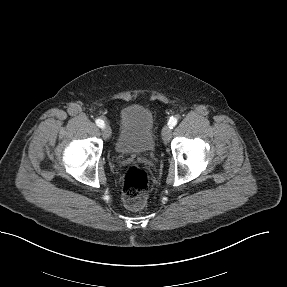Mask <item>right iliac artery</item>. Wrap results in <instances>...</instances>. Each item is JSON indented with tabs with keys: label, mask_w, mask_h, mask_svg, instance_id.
Listing matches in <instances>:
<instances>
[{
	"label": "right iliac artery",
	"mask_w": 287,
	"mask_h": 287,
	"mask_svg": "<svg viewBox=\"0 0 287 287\" xmlns=\"http://www.w3.org/2000/svg\"><path fill=\"white\" fill-rule=\"evenodd\" d=\"M96 125L100 128H103L105 126L104 121L101 119L96 120Z\"/></svg>",
	"instance_id": "1"
}]
</instances>
